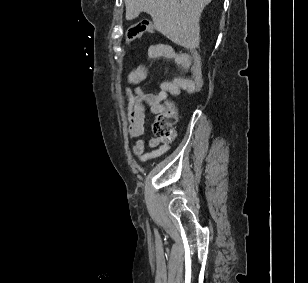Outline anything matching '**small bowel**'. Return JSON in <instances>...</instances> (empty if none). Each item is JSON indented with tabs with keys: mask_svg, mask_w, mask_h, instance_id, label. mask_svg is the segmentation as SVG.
<instances>
[{
	"mask_svg": "<svg viewBox=\"0 0 308 283\" xmlns=\"http://www.w3.org/2000/svg\"><path fill=\"white\" fill-rule=\"evenodd\" d=\"M149 54L152 57L171 59L180 69L190 72L191 56L187 53L175 52L169 45H153L149 48ZM146 78V67L138 66L127 76V82L133 86V89H130L127 85L123 86L127 101L129 135L136 139L131 145V152L140 162L158 158L170 150L169 142L156 138L146 140L142 137L145 130L146 107L154 114H158L162 111L163 102L169 95H178L182 91H187L190 86V75L186 77L178 76L171 80H163L159 84L157 93H147L141 87Z\"/></svg>",
	"mask_w": 308,
	"mask_h": 283,
	"instance_id": "small-bowel-1",
	"label": "small bowel"
}]
</instances>
